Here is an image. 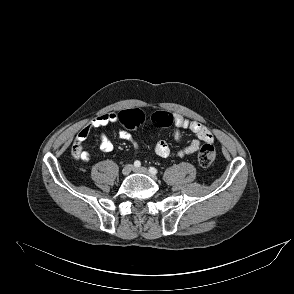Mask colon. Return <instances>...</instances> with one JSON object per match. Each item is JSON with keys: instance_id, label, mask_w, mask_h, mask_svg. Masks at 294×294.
Returning <instances> with one entry per match:
<instances>
[{"instance_id": "5ec220e1", "label": "colon", "mask_w": 294, "mask_h": 294, "mask_svg": "<svg viewBox=\"0 0 294 294\" xmlns=\"http://www.w3.org/2000/svg\"><path fill=\"white\" fill-rule=\"evenodd\" d=\"M146 115L141 109H129L119 113L120 123L128 129H136L144 124ZM152 124L156 127H167L173 124L174 117L172 113L167 111H157L151 116ZM80 143L74 145V154L78 153ZM216 158V149L210 144H204L198 153V162L202 167H209Z\"/></svg>"}]
</instances>
